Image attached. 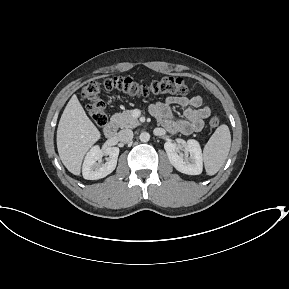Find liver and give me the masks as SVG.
Masks as SVG:
<instances>
[{"label":"liver","mask_w":289,"mask_h":289,"mask_svg":"<svg viewBox=\"0 0 289 289\" xmlns=\"http://www.w3.org/2000/svg\"><path fill=\"white\" fill-rule=\"evenodd\" d=\"M100 139V132L86 115L76 95L67 103L57 128V149L64 166L79 175L86 152Z\"/></svg>","instance_id":"liver-1"}]
</instances>
